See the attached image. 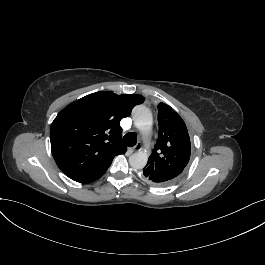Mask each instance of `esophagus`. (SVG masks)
Segmentation results:
<instances>
[{
	"label": "esophagus",
	"instance_id": "34e87169",
	"mask_svg": "<svg viewBox=\"0 0 265 265\" xmlns=\"http://www.w3.org/2000/svg\"><path fill=\"white\" fill-rule=\"evenodd\" d=\"M134 151H140L142 149V144L141 142H138L134 147Z\"/></svg>",
	"mask_w": 265,
	"mask_h": 265
}]
</instances>
